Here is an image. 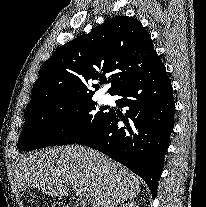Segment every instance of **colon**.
Returning a JSON list of instances; mask_svg holds the SVG:
<instances>
[{
	"label": "colon",
	"mask_w": 206,
	"mask_h": 207,
	"mask_svg": "<svg viewBox=\"0 0 206 207\" xmlns=\"http://www.w3.org/2000/svg\"><path fill=\"white\" fill-rule=\"evenodd\" d=\"M58 207H81L79 204H77L74 201L68 202L65 206H58Z\"/></svg>",
	"instance_id": "colon-1"
}]
</instances>
